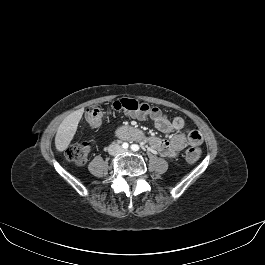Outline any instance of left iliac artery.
<instances>
[{"mask_svg":"<svg viewBox=\"0 0 265 265\" xmlns=\"http://www.w3.org/2000/svg\"><path fill=\"white\" fill-rule=\"evenodd\" d=\"M131 149L133 151H138L140 149V147L137 144H133V145H131Z\"/></svg>","mask_w":265,"mask_h":265,"instance_id":"44dca946","label":"left iliac artery"}]
</instances>
